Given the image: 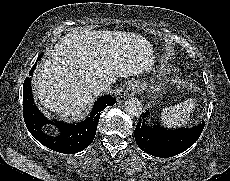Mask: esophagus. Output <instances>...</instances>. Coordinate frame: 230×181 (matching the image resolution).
<instances>
[{
  "label": "esophagus",
  "mask_w": 230,
  "mask_h": 181,
  "mask_svg": "<svg viewBox=\"0 0 230 181\" xmlns=\"http://www.w3.org/2000/svg\"><path fill=\"white\" fill-rule=\"evenodd\" d=\"M138 91H139V83L138 82L130 83L124 91V97L131 98L134 95H136Z\"/></svg>",
  "instance_id": "obj_1"
}]
</instances>
